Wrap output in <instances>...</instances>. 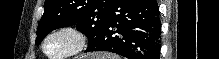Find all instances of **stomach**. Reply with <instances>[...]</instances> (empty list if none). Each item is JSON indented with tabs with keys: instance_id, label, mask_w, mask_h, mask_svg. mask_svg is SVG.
Instances as JSON below:
<instances>
[{
	"instance_id": "1",
	"label": "stomach",
	"mask_w": 219,
	"mask_h": 59,
	"mask_svg": "<svg viewBox=\"0 0 219 59\" xmlns=\"http://www.w3.org/2000/svg\"><path fill=\"white\" fill-rule=\"evenodd\" d=\"M92 57H94V58L96 57L98 59H110V56H108V55L104 56V55L94 54V55H92ZM105 57H107V58H105Z\"/></svg>"
}]
</instances>
